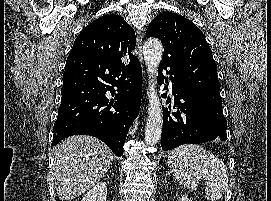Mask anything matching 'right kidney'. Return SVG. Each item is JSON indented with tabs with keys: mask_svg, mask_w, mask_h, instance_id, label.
Listing matches in <instances>:
<instances>
[{
	"mask_svg": "<svg viewBox=\"0 0 271 201\" xmlns=\"http://www.w3.org/2000/svg\"><path fill=\"white\" fill-rule=\"evenodd\" d=\"M107 197V186L106 182H99L96 184L81 201H106Z\"/></svg>",
	"mask_w": 271,
	"mask_h": 201,
	"instance_id": "right-kidney-1",
	"label": "right kidney"
}]
</instances>
